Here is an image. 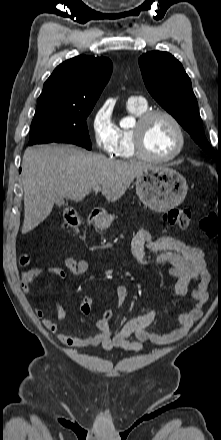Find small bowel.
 I'll return each instance as SVG.
<instances>
[{"mask_svg": "<svg viewBox=\"0 0 221 440\" xmlns=\"http://www.w3.org/2000/svg\"><path fill=\"white\" fill-rule=\"evenodd\" d=\"M156 254V264L168 267L166 273L177 279L174 295L182 297L191 295L195 300L194 308L189 312L177 314L179 325L162 332L148 330L157 318L155 310L135 316L128 320L115 334L111 330V321H104L102 317L96 322L98 333L92 336H69L60 332L57 323L44 316L41 308L36 306L34 312L42 320L43 325L51 333L55 334L58 340L70 348H87L102 346L105 350L115 348L126 351H139L144 344L165 345L184 337L203 315V307L208 299L207 284L210 276L206 270L203 252L179 239L164 236L151 239L146 229H140L130 242V252L133 258L140 265H147L144 256L145 249ZM64 265L73 276H81L89 269L86 260H77L72 257L64 258ZM43 273H51L59 279L66 277V272L57 266L45 268L26 269L21 274L22 288L26 293L30 291V285ZM129 289L126 285H119L116 288L118 305L125 303ZM57 311V319L63 320L66 317V310L58 300H54ZM112 312V311H111ZM113 314V312H112Z\"/></svg>", "mask_w": 221, "mask_h": 440, "instance_id": "small-bowel-1", "label": "small bowel"}]
</instances>
